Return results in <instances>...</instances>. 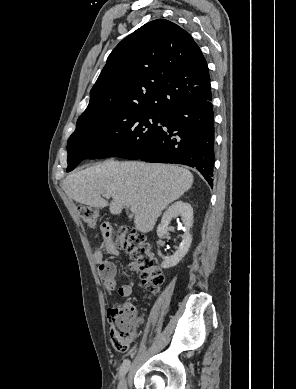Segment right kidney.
<instances>
[{
	"instance_id": "right-kidney-1",
	"label": "right kidney",
	"mask_w": 296,
	"mask_h": 389,
	"mask_svg": "<svg viewBox=\"0 0 296 389\" xmlns=\"http://www.w3.org/2000/svg\"><path fill=\"white\" fill-rule=\"evenodd\" d=\"M177 217H181V220L183 222L182 229L184 233L182 235V241L176 252L171 256L165 257L163 262L161 263V267L164 269L176 266L187 254L192 243V235L190 233V229L193 225V208L189 203L182 201L173 203L164 212L161 219V223L157 228L158 237L161 238L167 233L170 222L172 221V219Z\"/></svg>"
}]
</instances>
